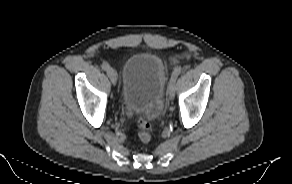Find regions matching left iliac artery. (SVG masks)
<instances>
[{
  "instance_id": "obj_1",
  "label": "left iliac artery",
  "mask_w": 292,
  "mask_h": 184,
  "mask_svg": "<svg viewBox=\"0 0 292 184\" xmlns=\"http://www.w3.org/2000/svg\"><path fill=\"white\" fill-rule=\"evenodd\" d=\"M182 68L181 67H176L174 71L171 74L170 82H176L177 77L181 73Z\"/></svg>"
}]
</instances>
